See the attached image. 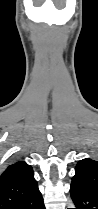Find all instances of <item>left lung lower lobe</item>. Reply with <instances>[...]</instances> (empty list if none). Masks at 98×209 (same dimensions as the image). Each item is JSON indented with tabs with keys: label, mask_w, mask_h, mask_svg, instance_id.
<instances>
[{
	"label": "left lung lower lobe",
	"mask_w": 98,
	"mask_h": 209,
	"mask_svg": "<svg viewBox=\"0 0 98 209\" xmlns=\"http://www.w3.org/2000/svg\"><path fill=\"white\" fill-rule=\"evenodd\" d=\"M70 193L74 209H98V195L95 192L71 184Z\"/></svg>",
	"instance_id": "0a47b994"
}]
</instances>
